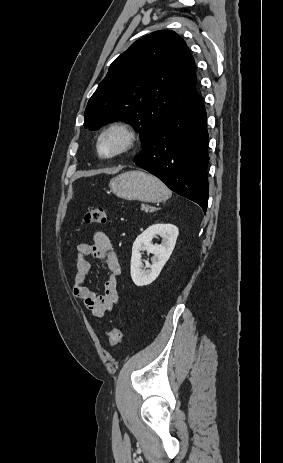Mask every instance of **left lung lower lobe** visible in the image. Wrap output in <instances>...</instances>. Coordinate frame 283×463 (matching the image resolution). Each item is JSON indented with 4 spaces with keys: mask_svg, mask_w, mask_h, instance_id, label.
<instances>
[{
    "mask_svg": "<svg viewBox=\"0 0 283 463\" xmlns=\"http://www.w3.org/2000/svg\"><path fill=\"white\" fill-rule=\"evenodd\" d=\"M207 147L206 111L197 93L158 126L133 161L206 212Z\"/></svg>",
    "mask_w": 283,
    "mask_h": 463,
    "instance_id": "1",
    "label": "left lung lower lobe"
}]
</instances>
